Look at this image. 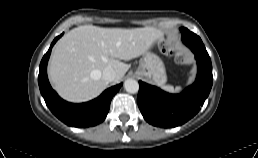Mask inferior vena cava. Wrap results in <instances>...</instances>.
<instances>
[{"mask_svg": "<svg viewBox=\"0 0 258 158\" xmlns=\"http://www.w3.org/2000/svg\"><path fill=\"white\" fill-rule=\"evenodd\" d=\"M102 77L107 82H112L116 78V72L114 69L107 67L103 70Z\"/></svg>", "mask_w": 258, "mask_h": 158, "instance_id": "1", "label": "inferior vena cava"}]
</instances>
